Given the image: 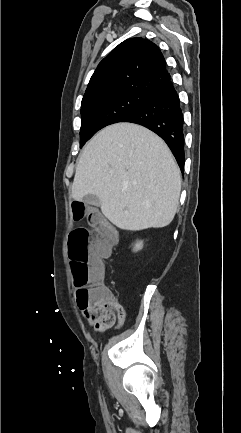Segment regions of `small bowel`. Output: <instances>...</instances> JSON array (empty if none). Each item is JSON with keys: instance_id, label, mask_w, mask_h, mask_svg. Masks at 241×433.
I'll return each instance as SVG.
<instances>
[{"instance_id": "obj_1", "label": "small bowel", "mask_w": 241, "mask_h": 433, "mask_svg": "<svg viewBox=\"0 0 241 433\" xmlns=\"http://www.w3.org/2000/svg\"><path fill=\"white\" fill-rule=\"evenodd\" d=\"M107 296L99 299L94 305L87 307L84 317L97 332H104L113 326L121 327L126 319L123 306L115 299L111 289L103 283Z\"/></svg>"}]
</instances>
